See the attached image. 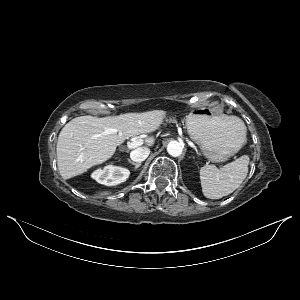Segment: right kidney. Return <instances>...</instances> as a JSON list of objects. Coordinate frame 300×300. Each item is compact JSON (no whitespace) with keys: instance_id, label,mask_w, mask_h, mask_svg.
Instances as JSON below:
<instances>
[{"instance_id":"1","label":"right kidney","mask_w":300,"mask_h":300,"mask_svg":"<svg viewBox=\"0 0 300 300\" xmlns=\"http://www.w3.org/2000/svg\"><path fill=\"white\" fill-rule=\"evenodd\" d=\"M130 172L126 168L119 166L107 165L103 169H97L92 173V178L98 183L106 186H115L125 182Z\"/></svg>"}]
</instances>
